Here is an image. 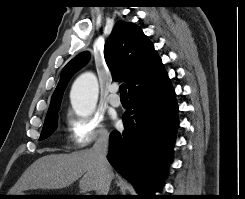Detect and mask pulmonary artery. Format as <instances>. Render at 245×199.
Listing matches in <instances>:
<instances>
[{
  "label": "pulmonary artery",
  "mask_w": 245,
  "mask_h": 199,
  "mask_svg": "<svg viewBox=\"0 0 245 199\" xmlns=\"http://www.w3.org/2000/svg\"><path fill=\"white\" fill-rule=\"evenodd\" d=\"M109 103L113 106V107H119L121 106V99L118 96L117 92H118V85L117 84H113L110 86L109 88Z\"/></svg>",
  "instance_id": "pulmonary-artery-1"
}]
</instances>
